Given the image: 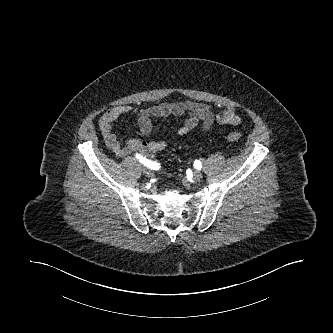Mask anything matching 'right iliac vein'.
Segmentation results:
<instances>
[{
	"instance_id": "obj_1",
	"label": "right iliac vein",
	"mask_w": 333,
	"mask_h": 333,
	"mask_svg": "<svg viewBox=\"0 0 333 333\" xmlns=\"http://www.w3.org/2000/svg\"><path fill=\"white\" fill-rule=\"evenodd\" d=\"M143 173L147 176V177H151L153 175V172L150 168L144 167L143 168Z\"/></svg>"
}]
</instances>
